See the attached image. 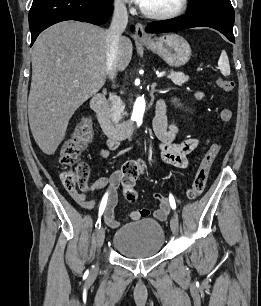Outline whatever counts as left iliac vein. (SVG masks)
Wrapping results in <instances>:
<instances>
[{
	"label": "left iliac vein",
	"mask_w": 261,
	"mask_h": 306,
	"mask_svg": "<svg viewBox=\"0 0 261 306\" xmlns=\"http://www.w3.org/2000/svg\"><path fill=\"white\" fill-rule=\"evenodd\" d=\"M170 227L174 234H176L179 230V218L177 214H174L170 221Z\"/></svg>",
	"instance_id": "obj_1"
}]
</instances>
